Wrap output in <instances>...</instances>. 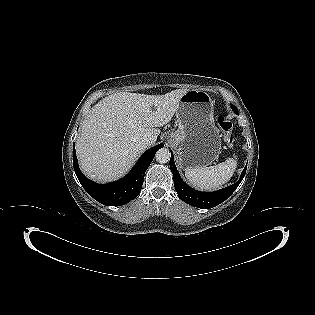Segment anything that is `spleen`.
Returning <instances> with one entry per match:
<instances>
[{"instance_id": "3e777b00", "label": "spleen", "mask_w": 315, "mask_h": 315, "mask_svg": "<svg viewBox=\"0 0 315 315\" xmlns=\"http://www.w3.org/2000/svg\"><path fill=\"white\" fill-rule=\"evenodd\" d=\"M237 166L236 157L209 167L188 168L185 171L187 180L201 190H216L228 182Z\"/></svg>"}]
</instances>
